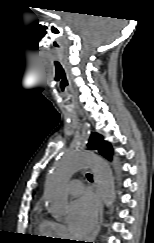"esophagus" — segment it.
Masks as SVG:
<instances>
[{"mask_svg":"<svg viewBox=\"0 0 154 243\" xmlns=\"http://www.w3.org/2000/svg\"><path fill=\"white\" fill-rule=\"evenodd\" d=\"M94 187H95V192L97 197V212H96V221H95L94 229L90 234V236L87 238L88 243H94V240L100 231L102 220H103V202L96 181L94 183Z\"/></svg>","mask_w":154,"mask_h":243,"instance_id":"esophagus-1","label":"esophagus"}]
</instances>
